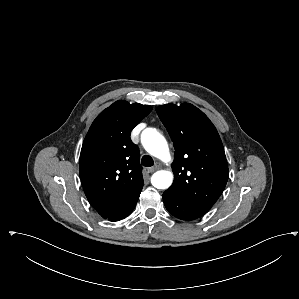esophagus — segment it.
I'll use <instances>...</instances> for the list:
<instances>
[{
  "instance_id": "1",
  "label": "esophagus",
  "mask_w": 299,
  "mask_h": 299,
  "mask_svg": "<svg viewBox=\"0 0 299 299\" xmlns=\"http://www.w3.org/2000/svg\"><path fill=\"white\" fill-rule=\"evenodd\" d=\"M161 168V164L160 163H156L155 166L151 167L148 169L149 173H153L156 170H159Z\"/></svg>"
}]
</instances>
